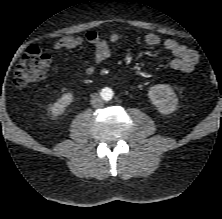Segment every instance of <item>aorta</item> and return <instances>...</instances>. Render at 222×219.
Returning a JSON list of instances; mask_svg holds the SVG:
<instances>
[{
    "mask_svg": "<svg viewBox=\"0 0 222 219\" xmlns=\"http://www.w3.org/2000/svg\"><path fill=\"white\" fill-rule=\"evenodd\" d=\"M106 91H107L106 99L109 100L112 97V91H111V89H106Z\"/></svg>",
    "mask_w": 222,
    "mask_h": 219,
    "instance_id": "762f6f07",
    "label": "aorta"
}]
</instances>
